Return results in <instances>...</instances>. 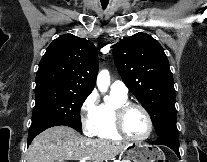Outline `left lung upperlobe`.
<instances>
[{"label":"left lung upper lobe","instance_id":"1","mask_svg":"<svg viewBox=\"0 0 207 162\" xmlns=\"http://www.w3.org/2000/svg\"><path fill=\"white\" fill-rule=\"evenodd\" d=\"M118 71L150 114L158 135L176 127L175 89L162 46L146 33H137L113 46Z\"/></svg>","mask_w":207,"mask_h":162}]
</instances>
